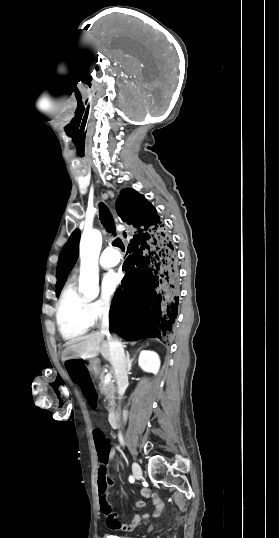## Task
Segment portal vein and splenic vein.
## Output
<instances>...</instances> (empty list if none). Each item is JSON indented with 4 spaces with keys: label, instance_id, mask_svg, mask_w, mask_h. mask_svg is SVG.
Wrapping results in <instances>:
<instances>
[{
    "label": "portal vein and splenic vein",
    "instance_id": "obj_1",
    "mask_svg": "<svg viewBox=\"0 0 279 538\" xmlns=\"http://www.w3.org/2000/svg\"><path fill=\"white\" fill-rule=\"evenodd\" d=\"M111 374H106L105 376V385H108L110 383Z\"/></svg>",
    "mask_w": 279,
    "mask_h": 538
}]
</instances>
